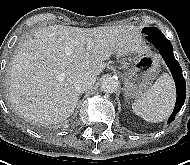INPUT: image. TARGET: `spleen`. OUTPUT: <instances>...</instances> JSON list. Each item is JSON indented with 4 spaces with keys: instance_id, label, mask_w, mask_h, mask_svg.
Returning a JSON list of instances; mask_svg holds the SVG:
<instances>
[{
    "instance_id": "spleen-1",
    "label": "spleen",
    "mask_w": 190,
    "mask_h": 165,
    "mask_svg": "<svg viewBox=\"0 0 190 165\" xmlns=\"http://www.w3.org/2000/svg\"><path fill=\"white\" fill-rule=\"evenodd\" d=\"M176 91L169 74H162L151 88L132 104L134 113L148 122L164 121L172 112Z\"/></svg>"
}]
</instances>
